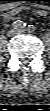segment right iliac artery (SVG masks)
Wrapping results in <instances>:
<instances>
[{
    "label": "right iliac artery",
    "instance_id": "1",
    "mask_svg": "<svg viewBox=\"0 0 50 111\" xmlns=\"http://www.w3.org/2000/svg\"><path fill=\"white\" fill-rule=\"evenodd\" d=\"M14 29H22L26 26V23H24L23 21L17 20L12 24Z\"/></svg>",
    "mask_w": 50,
    "mask_h": 111
}]
</instances>
